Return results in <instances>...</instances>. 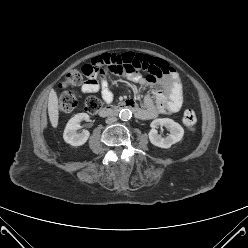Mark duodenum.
I'll return each mask as SVG.
<instances>
[{
  "label": "duodenum",
  "mask_w": 248,
  "mask_h": 248,
  "mask_svg": "<svg viewBox=\"0 0 248 248\" xmlns=\"http://www.w3.org/2000/svg\"><path fill=\"white\" fill-rule=\"evenodd\" d=\"M123 109H130L135 114H139L141 110L140 107L136 103L132 101H127L117 106H107V107L102 108L99 111V116L100 117L114 116V115H117Z\"/></svg>",
  "instance_id": "obj_1"
}]
</instances>
